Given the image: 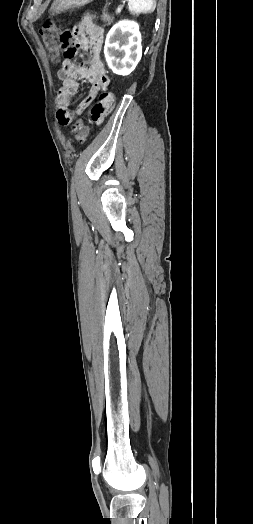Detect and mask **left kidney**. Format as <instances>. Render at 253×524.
<instances>
[{
	"mask_svg": "<svg viewBox=\"0 0 253 524\" xmlns=\"http://www.w3.org/2000/svg\"><path fill=\"white\" fill-rule=\"evenodd\" d=\"M104 55L115 74L129 75L142 57L138 24L127 20L115 24L106 36Z\"/></svg>",
	"mask_w": 253,
	"mask_h": 524,
	"instance_id": "left-kidney-1",
	"label": "left kidney"
}]
</instances>
